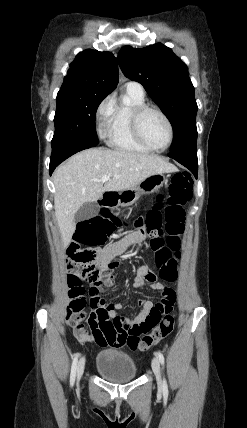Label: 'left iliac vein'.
<instances>
[{"label": "left iliac vein", "instance_id": "obj_1", "mask_svg": "<svg viewBox=\"0 0 247 428\" xmlns=\"http://www.w3.org/2000/svg\"><path fill=\"white\" fill-rule=\"evenodd\" d=\"M152 370L156 376V380H157V386L159 390H163V383H162V378H161V371H160V363L157 357H154L152 359Z\"/></svg>", "mask_w": 247, "mask_h": 428}]
</instances>
